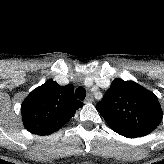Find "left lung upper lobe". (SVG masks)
I'll list each match as a JSON object with an SVG mask.
<instances>
[{"mask_svg": "<svg viewBox=\"0 0 164 164\" xmlns=\"http://www.w3.org/2000/svg\"><path fill=\"white\" fill-rule=\"evenodd\" d=\"M96 109L112 130L139 136L151 133L163 117L154 93L122 79L112 82Z\"/></svg>", "mask_w": 164, "mask_h": 164, "instance_id": "obj_1", "label": "left lung upper lobe"}]
</instances>
